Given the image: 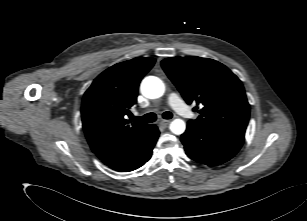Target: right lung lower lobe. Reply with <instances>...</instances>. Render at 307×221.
<instances>
[{"label":"right lung lower lobe","mask_w":307,"mask_h":221,"mask_svg":"<svg viewBox=\"0 0 307 221\" xmlns=\"http://www.w3.org/2000/svg\"><path fill=\"white\" fill-rule=\"evenodd\" d=\"M159 137L158 128L152 124L146 132L138 138L130 147L119 154L116 158L106 163L110 168L116 171L129 172L141 167L147 162L152 149Z\"/></svg>","instance_id":"98d812e1"}]
</instances>
